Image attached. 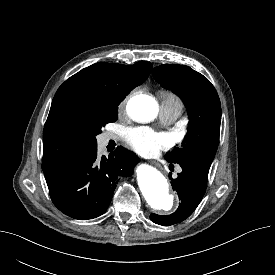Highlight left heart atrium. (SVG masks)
I'll use <instances>...</instances> for the list:
<instances>
[{
  "label": "left heart atrium",
  "mask_w": 275,
  "mask_h": 275,
  "mask_svg": "<svg viewBox=\"0 0 275 275\" xmlns=\"http://www.w3.org/2000/svg\"><path fill=\"white\" fill-rule=\"evenodd\" d=\"M125 136L129 144L139 153L152 155L172 145L169 135L147 127L127 129Z\"/></svg>",
  "instance_id": "39dd6f15"
}]
</instances>
